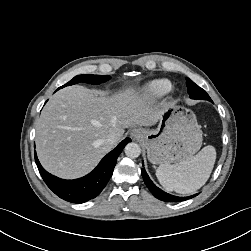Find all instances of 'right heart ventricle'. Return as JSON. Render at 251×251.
<instances>
[{
    "instance_id": "obj_1",
    "label": "right heart ventricle",
    "mask_w": 251,
    "mask_h": 251,
    "mask_svg": "<svg viewBox=\"0 0 251 251\" xmlns=\"http://www.w3.org/2000/svg\"><path fill=\"white\" fill-rule=\"evenodd\" d=\"M172 82L168 79H155L150 81L145 87L144 92L152 98H160L172 90Z\"/></svg>"
}]
</instances>
